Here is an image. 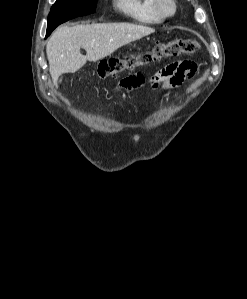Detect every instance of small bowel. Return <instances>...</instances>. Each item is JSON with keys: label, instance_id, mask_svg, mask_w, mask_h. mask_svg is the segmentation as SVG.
Here are the masks:
<instances>
[{"label": "small bowel", "instance_id": "obj_1", "mask_svg": "<svg viewBox=\"0 0 247 299\" xmlns=\"http://www.w3.org/2000/svg\"><path fill=\"white\" fill-rule=\"evenodd\" d=\"M197 70L195 62L183 60L168 64L153 74L148 83L154 90H168L179 87L186 79L191 78ZM141 74L128 76L120 81V87L126 90L134 89L144 83Z\"/></svg>", "mask_w": 247, "mask_h": 299}]
</instances>
